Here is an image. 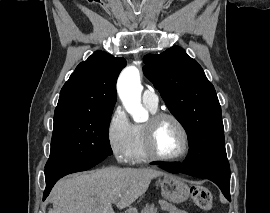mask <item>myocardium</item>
<instances>
[{
    "label": "myocardium",
    "instance_id": "obj_1",
    "mask_svg": "<svg viewBox=\"0 0 270 213\" xmlns=\"http://www.w3.org/2000/svg\"><path fill=\"white\" fill-rule=\"evenodd\" d=\"M164 119L172 120L179 130L181 131L184 139L182 151L174 156H164L157 152L154 145V134L158 124ZM142 138L145 152L149 159L165 162H176L187 157L190 151V136L184 123L174 114L169 112H155L153 113L148 122L142 126Z\"/></svg>",
    "mask_w": 270,
    "mask_h": 213
}]
</instances>
